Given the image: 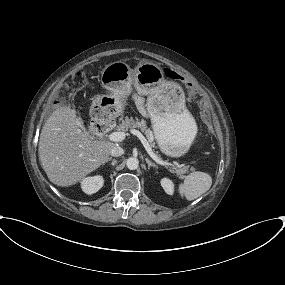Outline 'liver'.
<instances>
[{"label": "liver", "mask_w": 285, "mask_h": 285, "mask_svg": "<svg viewBox=\"0 0 285 285\" xmlns=\"http://www.w3.org/2000/svg\"><path fill=\"white\" fill-rule=\"evenodd\" d=\"M75 113L70 106L55 110L39 139L40 164L49 180L61 187L76 184L104 165L116 146L110 141L93 140L80 126Z\"/></svg>", "instance_id": "liver-1"}]
</instances>
